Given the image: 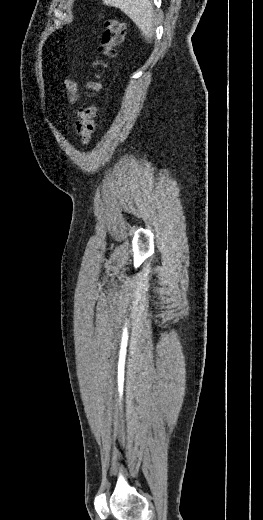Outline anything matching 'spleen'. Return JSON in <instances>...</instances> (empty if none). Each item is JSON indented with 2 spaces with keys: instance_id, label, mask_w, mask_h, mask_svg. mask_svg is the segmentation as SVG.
<instances>
[{
  "instance_id": "spleen-1",
  "label": "spleen",
  "mask_w": 263,
  "mask_h": 520,
  "mask_svg": "<svg viewBox=\"0 0 263 520\" xmlns=\"http://www.w3.org/2000/svg\"><path fill=\"white\" fill-rule=\"evenodd\" d=\"M103 3L124 12L151 42L155 31L154 7L151 0H103Z\"/></svg>"
}]
</instances>
